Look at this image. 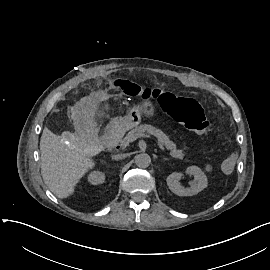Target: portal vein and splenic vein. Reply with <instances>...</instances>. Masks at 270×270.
<instances>
[{"label": "portal vein and splenic vein", "instance_id": "portal-vein-and-splenic-vein-1", "mask_svg": "<svg viewBox=\"0 0 270 270\" xmlns=\"http://www.w3.org/2000/svg\"><path fill=\"white\" fill-rule=\"evenodd\" d=\"M143 137L145 138H147V137H149V135L146 133H144L143 135H139L138 137L137 136H128L127 137V142L128 143H133L134 141H137L138 139L139 140H142L143 139ZM150 138V137H149ZM153 139V138H152ZM154 141H156L155 139H153ZM156 145L163 151V152H166V149H165V147L158 141L157 143H156Z\"/></svg>", "mask_w": 270, "mask_h": 270}]
</instances>
